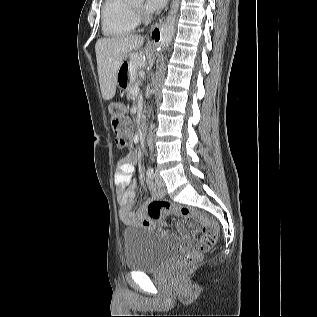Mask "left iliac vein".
Returning a JSON list of instances; mask_svg holds the SVG:
<instances>
[{"label": "left iliac vein", "mask_w": 317, "mask_h": 317, "mask_svg": "<svg viewBox=\"0 0 317 317\" xmlns=\"http://www.w3.org/2000/svg\"><path fill=\"white\" fill-rule=\"evenodd\" d=\"M156 183H157V185L159 187L164 186V181H163L162 177L159 174H157V176H156Z\"/></svg>", "instance_id": "1"}]
</instances>
